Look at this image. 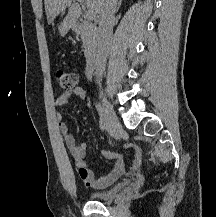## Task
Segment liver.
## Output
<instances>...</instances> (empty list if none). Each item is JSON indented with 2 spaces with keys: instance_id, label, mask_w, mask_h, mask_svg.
<instances>
[{
  "instance_id": "obj_1",
  "label": "liver",
  "mask_w": 216,
  "mask_h": 217,
  "mask_svg": "<svg viewBox=\"0 0 216 217\" xmlns=\"http://www.w3.org/2000/svg\"><path fill=\"white\" fill-rule=\"evenodd\" d=\"M84 2L89 10L98 14L104 0H84ZM44 4L49 24H54V19L67 7L69 8L68 14L58 27L61 36H64L68 30L76 24L81 13L80 6L75 2V0H44Z\"/></svg>"
}]
</instances>
